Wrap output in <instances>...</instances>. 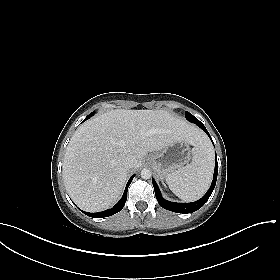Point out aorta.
<instances>
[{"mask_svg": "<svg viewBox=\"0 0 280 280\" xmlns=\"http://www.w3.org/2000/svg\"><path fill=\"white\" fill-rule=\"evenodd\" d=\"M151 176H152V173L149 169L144 168L141 170V177L143 179H150Z\"/></svg>", "mask_w": 280, "mask_h": 280, "instance_id": "762f6f07", "label": "aorta"}]
</instances>
